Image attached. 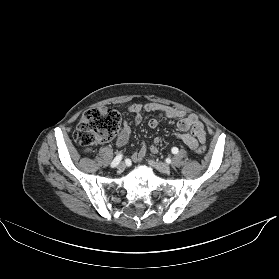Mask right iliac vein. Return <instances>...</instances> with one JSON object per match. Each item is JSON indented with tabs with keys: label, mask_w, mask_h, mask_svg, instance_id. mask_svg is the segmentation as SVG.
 <instances>
[{
	"label": "right iliac vein",
	"mask_w": 279,
	"mask_h": 279,
	"mask_svg": "<svg viewBox=\"0 0 279 279\" xmlns=\"http://www.w3.org/2000/svg\"><path fill=\"white\" fill-rule=\"evenodd\" d=\"M126 165L124 162H120L118 165H117V169L119 171H123L125 169Z\"/></svg>",
	"instance_id": "right-iliac-vein-1"
}]
</instances>
